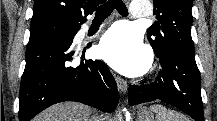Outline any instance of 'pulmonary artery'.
<instances>
[{"instance_id":"e3ab8cb5","label":"pulmonary artery","mask_w":217,"mask_h":121,"mask_svg":"<svg viewBox=\"0 0 217 121\" xmlns=\"http://www.w3.org/2000/svg\"><path fill=\"white\" fill-rule=\"evenodd\" d=\"M148 5L143 2H132L130 4V14L133 18H145L149 16ZM88 30V26H84L81 32L84 33Z\"/></svg>"}]
</instances>
